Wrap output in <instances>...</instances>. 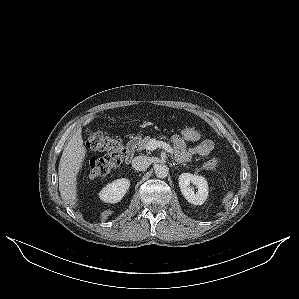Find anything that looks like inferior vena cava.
I'll return each mask as SVG.
<instances>
[{"mask_svg": "<svg viewBox=\"0 0 299 299\" xmlns=\"http://www.w3.org/2000/svg\"><path fill=\"white\" fill-rule=\"evenodd\" d=\"M132 168L137 171H143L147 169L150 165L149 158L147 156H136L132 160Z\"/></svg>", "mask_w": 299, "mask_h": 299, "instance_id": "1", "label": "inferior vena cava"}]
</instances>
